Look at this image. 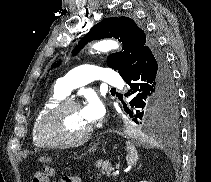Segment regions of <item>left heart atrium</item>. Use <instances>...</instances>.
Listing matches in <instances>:
<instances>
[{
	"label": "left heart atrium",
	"instance_id": "39dd6f15",
	"mask_svg": "<svg viewBox=\"0 0 211 182\" xmlns=\"http://www.w3.org/2000/svg\"><path fill=\"white\" fill-rule=\"evenodd\" d=\"M82 111L86 119L93 123L103 115V106L97 97H90Z\"/></svg>",
	"mask_w": 211,
	"mask_h": 182
}]
</instances>
